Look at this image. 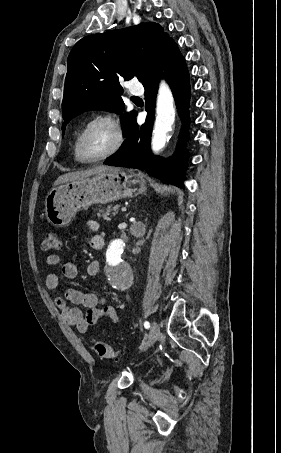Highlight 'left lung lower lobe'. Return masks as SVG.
<instances>
[{
	"label": "left lung lower lobe",
	"instance_id": "1",
	"mask_svg": "<svg viewBox=\"0 0 281 453\" xmlns=\"http://www.w3.org/2000/svg\"><path fill=\"white\" fill-rule=\"evenodd\" d=\"M158 71H164L163 76L173 91L179 115L183 120L181 142L174 156L170 159L154 156L150 151L155 100L159 82ZM142 83L145 88L146 111L148 112L146 121L140 128L137 124H133L121 148L108 158L104 164L145 170L151 176L183 188L182 180L188 158L184 151V141L188 137L190 83L185 59L173 39L166 46L156 68Z\"/></svg>",
	"mask_w": 281,
	"mask_h": 453
}]
</instances>
